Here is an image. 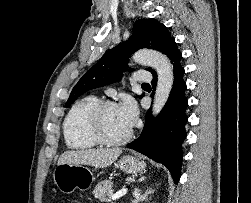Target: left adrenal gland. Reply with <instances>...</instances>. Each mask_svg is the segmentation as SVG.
<instances>
[{
    "label": "left adrenal gland",
    "mask_w": 251,
    "mask_h": 203,
    "mask_svg": "<svg viewBox=\"0 0 251 203\" xmlns=\"http://www.w3.org/2000/svg\"><path fill=\"white\" fill-rule=\"evenodd\" d=\"M153 192L154 190L150 188V189H147V191L144 194H142L141 190L136 188L133 193L135 199L132 201V203H138L140 201L145 200L148 197V195L152 194Z\"/></svg>",
    "instance_id": "obj_1"
}]
</instances>
